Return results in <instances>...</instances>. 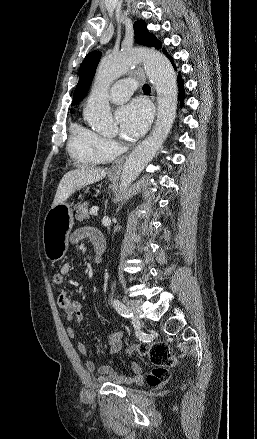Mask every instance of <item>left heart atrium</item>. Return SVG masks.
I'll use <instances>...</instances> for the list:
<instances>
[{"label": "left heart atrium", "mask_w": 257, "mask_h": 439, "mask_svg": "<svg viewBox=\"0 0 257 439\" xmlns=\"http://www.w3.org/2000/svg\"><path fill=\"white\" fill-rule=\"evenodd\" d=\"M151 109L143 100H134L121 107L116 117L123 138L134 139L141 136L151 120Z\"/></svg>", "instance_id": "1"}]
</instances>
